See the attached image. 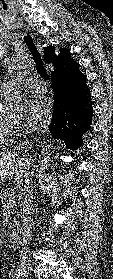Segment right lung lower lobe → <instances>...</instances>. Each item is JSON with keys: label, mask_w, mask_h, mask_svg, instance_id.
I'll list each match as a JSON object with an SVG mask.
<instances>
[{"label": "right lung lower lobe", "mask_w": 113, "mask_h": 279, "mask_svg": "<svg viewBox=\"0 0 113 279\" xmlns=\"http://www.w3.org/2000/svg\"><path fill=\"white\" fill-rule=\"evenodd\" d=\"M79 66L51 76L54 110L49 131L52 137L63 139L66 147L72 150L82 145L81 136L90 128L93 115L91 93Z\"/></svg>", "instance_id": "98d812e1"}]
</instances>
